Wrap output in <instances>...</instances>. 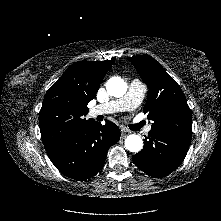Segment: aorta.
Listing matches in <instances>:
<instances>
[{
  "label": "aorta",
  "mask_w": 221,
  "mask_h": 221,
  "mask_svg": "<svg viewBox=\"0 0 221 221\" xmlns=\"http://www.w3.org/2000/svg\"><path fill=\"white\" fill-rule=\"evenodd\" d=\"M106 89L109 95L118 98L126 93L127 84L120 77H112L107 81ZM125 147L130 152L137 153L143 148V141L139 135L131 134L125 139Z\"/></svg>",
  "instance_id": "1"
}]
</instances>
